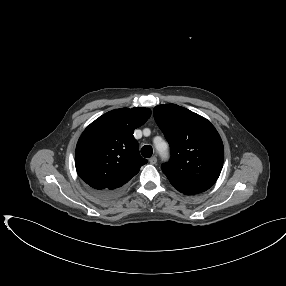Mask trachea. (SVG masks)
I'll return each instance as SVG.
<instances>
[{
    "instance_id": "obj_1",
    "label": "trachea",
    "mask_w": 286,
    "mask_h": 286,
    "mask_svg": "<svg viewBox=\"0 0 286 286\" xmlns=\"http://www.w3.org/2000/svg\"><path fill=\"white\" fill-rule=\"evenodd\" d=\"M153 149L150 145H145L141 149V154L145 158H150L152 156Z\"/></svg>"
}]
</instances>
